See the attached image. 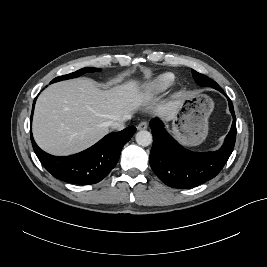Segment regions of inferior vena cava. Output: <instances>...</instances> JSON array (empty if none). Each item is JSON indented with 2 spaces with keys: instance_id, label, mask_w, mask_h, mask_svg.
<instances>
[{
  "instance_id": "obj_1",
  "label": "inferior vena cava",
  "mask_w": 267,
  "mask_h": 267,
  "mask_svg": "<svg viewBox=\"0 0 267 267\" xmlns=\"http://www.w3.org/2000/svg\"><path fill=\"white\" fill-rule=\"evenodd\" d=\"M130 117H123V118H118V119H114L112 121L109 122V126L111 129L120 131L122 129H124V122L126 119H129Z\"/></svg>"
}]
</instances>
